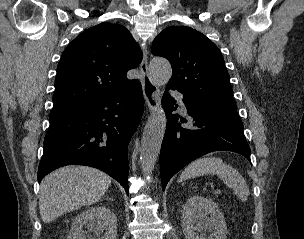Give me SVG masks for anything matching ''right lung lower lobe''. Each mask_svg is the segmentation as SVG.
I'll return each instance as SVG.
<instances>
[{
	"label": "right lung lower lobe",
	"mask_w": 304,
	"mask_h": 239,
	"mask_svg": "<svg viewBox=\"0 0 304 239\" xmlns=\"http://www.w3.org/2000/svg\"><path fill=\"white\" fill-rule=\"evenodd\" d=\"M142 110V87L136 80L82 109L50 118L38 182L62 166L86 165L113 177L128 194L127 147Z\"/></svg>",
	"instance_id": "1"
}]
</instances>
